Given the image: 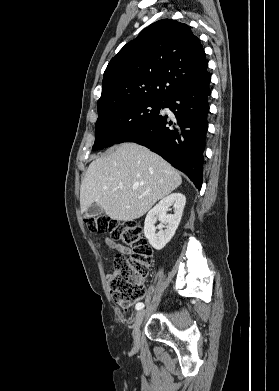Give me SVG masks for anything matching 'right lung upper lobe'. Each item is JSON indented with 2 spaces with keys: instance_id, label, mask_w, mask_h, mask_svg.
<instances>
[{
  "instance_id": "obj_1",
  "label": "right lung upper lobe",
  "mask_w": 279,
  "mask_h": 391,
  "mask_svg": "<svg viewBox=\"0 0 279 391\" xmlns=\"http://www.w3.org/2000/svg\"><path fill=\"white\" fill-rule=\"evenodd\" d=\"M203 47L190 27L163 19L145 28L109 62L98 114L137 101H164L207 71Z\"/></svg>"
}]
</instances>
